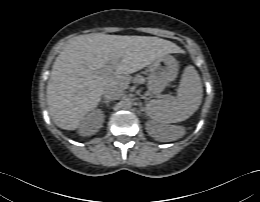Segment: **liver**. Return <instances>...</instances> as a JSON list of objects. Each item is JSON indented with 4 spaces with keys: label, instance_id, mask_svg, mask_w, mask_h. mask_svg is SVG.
<instances>
[{
    "label": "liver",
    "instance_id": "obj_1",
    "mask_svg": "<svg viewBox=\"0 0 260 202\" xmlns=\"http://www.w3.org/2000/svg\"><path fill=\"white\" fill-rule=\"evenodd\" d=\"M179 51L171 41L150 36L80 35L56 58L47 85V102L54 123L75 130L98 106L109 88L121 87L123 75L135 73L157 58ZM115 62V74L99 72Z\"/></svg>",
    "mask_w": 260,
    "mask_h": 202
}]
</instances>
